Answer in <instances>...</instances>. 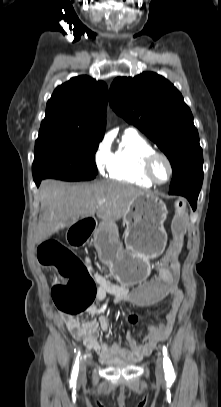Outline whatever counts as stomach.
<instances>
[{
	"label": "stomach",
	"instance_id": "1",
	"mask_svg": "<svg viewBox=\"0 0 221 407\" xmlns=\"http://www.w3.org/2000/svg\"><path fill=\"white\" fill-rule=\"evenodd\" d=\"M167 214L165 203L153 194H142L131 201L123 216L126 249L114 250L110 262L112 273L120 283L132 285L147 277L149 260L159 257L166 246L163 224ZM101 228L111 229L112 225L102 223Z\"/></svg>",
	"mask_w": 221,
	"mask_h": 407
}]
</instances>
